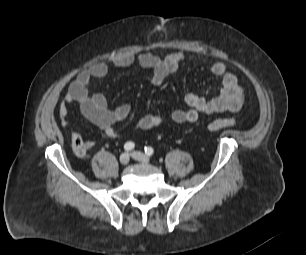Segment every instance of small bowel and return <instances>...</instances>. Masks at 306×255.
Instances as JSON below:
<instances>
[{"label": "small bowel", "instance_id": "obj_1", "mask_svg": "<svg viewBox=\"0 0 306 255\" xmlns=\"http://www.w3.org/2000/svg\"><path fill=\"white\" fill-rule=\"evenodd\" d=\"M184 52H174L166 56L154 53L142 55L125 54L113 60L117 68L137 66L152 71V82L155 85L163 84L166 79L177 72L185 59ZM211 72L221 79V89L217 95H199L188 93L185 102L188 108L175 109L172 112V120L175 123H194L201 113L236 112L243 104L244 89L239 84L237 77L227 71L223 62H215L211 66ZM108 73V66L99 62L88 69L82 70L71 82L65 98L61 101L58 114L62 125H66L68 104L77 103L82 115L92 124L100 128L109 138L118 137L116 125L125 120L131 113L128 103L115 108L108 106L105 96L101 93L90 94L89 87L95 81L102 80ZM163 119L158 114H145L140 117L138 126L142 130H150L159 126ZM88 148L93 146V141H86Z\"/></svg>", "mask_w": 306, "mask_h": 255}]
</instances>
